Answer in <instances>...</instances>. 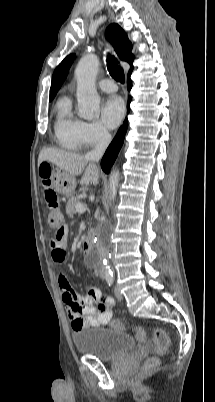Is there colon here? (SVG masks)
Here are the masks:
<instances>
[{"instance_id": "obj_1", "label": "colon", "mask_w": 215, "mask_h": 402, "mask_svg": "<svg viewBox=\"0 0 215 402\" xmlns=\"http://www.w3.org/2000/svg\"><path fill=\"white\" fill-rule=\"evenodd\" d=\"M51 163L49 160H42L39 166L38 177L43 179V194L45 205L48 211V225L51 228L59 229L61 224L60 205L56 192L51 186L49 178ZM112 326L116 329L121 328L122 324L119 320H114ZM134 333L139 341L147 340V333L143 327L137 326L134 328ZM152 342L155 346V350L158 354L164 353L170 344L167 333L161 329L156 328L152 333ZM157 365L156 358H150L145 363V370H151Z\"/></svg>"}]
</instances>
